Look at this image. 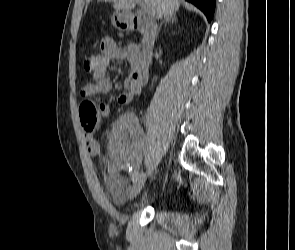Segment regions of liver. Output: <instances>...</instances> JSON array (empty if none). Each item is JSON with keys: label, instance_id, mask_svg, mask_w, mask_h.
Listing matches in <instances>:
<instances>
[{"label": "liver", "instance_id": "1", "mask_svg": "<svg viewBox=\"0 0 295 250\" xmlns=\"http://www.w3.org/2000/svg\"><path fill=\"white\" fill-rule=\"evenodd\" d=\"M105 2H113V8L116 11H130L135 8L136 3L144 2L148 4L156 18L174 15L180 7V0H103Z\"/></svg>", "mask_w": 295, "mask_h": 250}]
</instances>
